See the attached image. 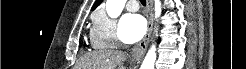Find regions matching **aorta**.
Wrapping results in <instances>:
<instances>
[{
  "label": "aorta",
  "mask_w": 246,
  "mask_h": 69,
  "mask_svg": "<svg viewBox=\"0 0 246 69\" xmlns=\"http://www.w3.org/2000/svg\"><path fill=\"white\" fill-rule=\"evenodd\" d=\"M126 3V0H107L106 1V11L109 17L116 18L118 17ZM161 14V2L160 0H155V18L159 17ZM156 47L152 45L146 54L141 69H154L156 61Z\"/></svg>",
  "instance_id": "1"
}]
</instances>
